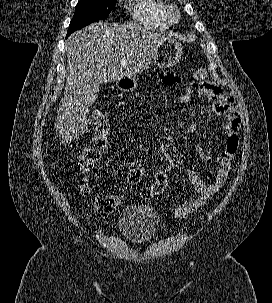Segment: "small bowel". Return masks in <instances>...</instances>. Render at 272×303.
I'll list each match as a JSON object with an SVG mask.
<instances>
[{
	"label": "small bowel",
	"mask_w": 272,
	"mask_h": 303,
	"mask_svg": "<svg viewBox=\"0 0 272 303\" xmlns=\"http://www.w3.org/2000/svg\"><path fill=\"white\" fill-rule=\"evenodd\" d=\"M160 81L164 85L172 86L179 82V77L165 72L160 75ZM193 88L200 97L212 101L211 110L214 114L226 118L222 126V132L226 137V145L223 152L217 158V171L211 183H206L202 176L194 170H185L187 179L197 192L198 197L174 209L175 215L178 218H183L193 213L220 190L228 177L230 163L236 155L239 144L240 117L233 105L231 96L225 94L219 85L211 81L195 83L193 84ZM195 152L202 161L207 162L211 159L201 144H196ZM145 175L146 171L144 168L134 166L128 170L126 180L128 184L136 185L144 179Z\"/></svg>",
	"instance_id": "obj_1"
}]
</instances>
